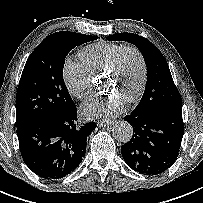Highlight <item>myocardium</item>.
I'll return each instance as SVG.
<instances>
[{
	"mask_svg": "<svg viewBox=\"0 0 203 203\" xmlns=\"http://www.w3.org/2000/svg\"><path fill=\"white\" fill-rule=\"evenodd\" d=\"M130 52L136 54L140 61L141 78H140L139 85H138L137 89L135 90V92L125 100L126 103H133L136 100H138L141 97V95L143 94L145 87H146L147 78H148V66H147L146 58H145L144 54L142 53V51L136 46H125L117 53V55L114 57V59L112 60L110 65L104 71V73L108 76L115 73L116 70L119 68L121 62L123 61L124 57Z\"/></svg>",
	"mask_w": 203,
	"mask_h": 203,
	"instance_id": "myocardium-1",
	"label": "myocardium"
}]
</instances>
